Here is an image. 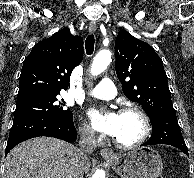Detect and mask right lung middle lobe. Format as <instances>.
Wrapping results in <instances>:
<instances>
[{
    "instance_id": "dd1d6c3e",
    "label": "right lung middle lobe",
    "mask_w": 194,
    "mask_h": 178,
    "mask_svg": "<svg viewBox=\"0 0 194 178\" xmlns=\"http://www.w3.org/2000/svg\"><path fill=\"white\" fill-rule=\"evenodd\" d=\"M56 96L57 95L17 101L14 116L43 114L55 119L73 117L69 108L67 110L64 108L65 101H58Z\"/></svg>"
}]
</instances>
